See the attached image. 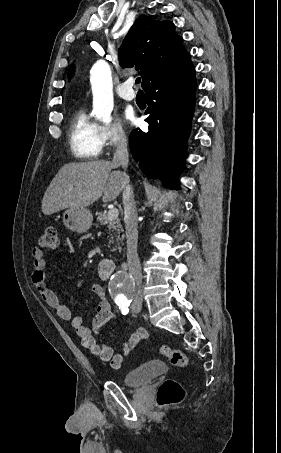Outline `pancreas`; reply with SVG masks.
<instances>
[{
	"label": "pancreas",
	"instance_id": "pancreas-1",
	"mask_svg": "<svg viewBox=\"0 0 281 453\" xmlns=\"http://www.w3.org/2000/svg\"><path fill=\"white\" fill-rule=\"evenodd\" d=\"M96 214L97 220H99L101 224H107V222H109L108 229L110 231V243H112L113 241V235H115L117 239H120V241H123L124 235H121V233H123V229L120 218H115V220H108V218H106V212H96ZM111 231H116V233H113V235H111Z\"/></svg>",
	"mask_w": 281,
	"mask_h": 453
}]
</instances>
